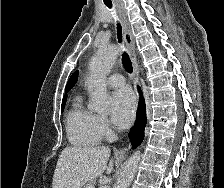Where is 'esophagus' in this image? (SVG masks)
<instances>
[{
	"mask_svg": "<svg viewBox=\"0 0 224 188\" xmlns=\"http://www.w3.org/2000/svg\"><path fill=\"white\" fill-rule=\"evenodd\" d=\"M118 11H119L121 21L123 24L124 38H125L127 51L129 53V56L131 58V62L133 65L134 89L137 92V86L139 85V71H138V64H137L136 52H135V41H134L131 27L126 19L124 12L122 11V9L120 7H118ZM127 150H128V148H125V149L121 150V152H119V153H124Z\"/></svg>",
	"mask_w": 224,
	"mask_h": 188,
	"instance_id": "1",
	"label": "esophagus"
}]
</instances>
